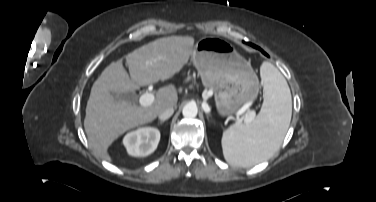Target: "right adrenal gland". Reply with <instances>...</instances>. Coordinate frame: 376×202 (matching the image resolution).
Segmentation results:
<instances>
[{
  "mask_svg": "<svg viewBox=\"0 0 376 202\" xmlns=\"http://www.w3.org/2000/svg\"><path fill=\"white\" fill-rule=\"evenodd\" d=\"M165 121H160L159 124H163Z\"/></svg>",
  "mask_w": 376,
  "mask_h": 202,
  "instance_id": "right-adrenal-gland-1",
  "label": "right adrenal gland"
}]
</instances>
